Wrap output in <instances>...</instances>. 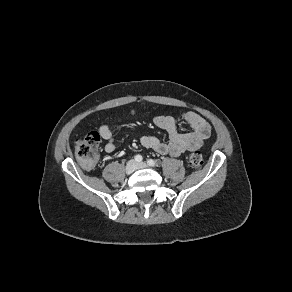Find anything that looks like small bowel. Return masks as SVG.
<instances>
[{"instance_id":"c3829d8e","label":"small bowel","mask_w":292,"mask_h":292,"mask_svg":"<svg viewBox=\"0 0 292 292\" xmlns=\"http://www.w3.org/2000/svg\"><path fill=\"white\" fill-rule=\"evenodd\" d=\"M181 120L186 122L191 131L180 133L178 131V121L169 115H156L153 123L169 136L168 142H163L155 136L142 135L140 143L148 149H152L162 155L179 156L187 151L200 148L211 135L210 124L195 112H186L181 116ZM100 136L106 140L105 151L112 153L115 150V140L111 129L107 125L99 128Z\"/></svg>"}]
</instances>
